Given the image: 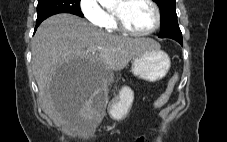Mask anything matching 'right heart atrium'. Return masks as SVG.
Instances as JSON below:
<instances>
[{"label": "right heart atrium", "mask_w": 227, "mask_h": 142, "mask_svg": "<svg viewBox=\"0 0 227 142\" xmlns=\"http://www.w3.org/2000/svg\"><path fill=\"white\" fill-rule=\"evenodd\" d=\"M80 11L90 23L102 26L106 19V11L98 0H79Z\"/></svg>", "instance_id": "d8ad5b80"}]
</instances>
